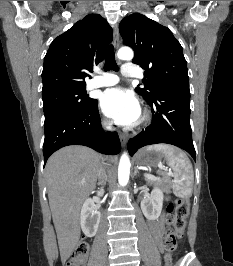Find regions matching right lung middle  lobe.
<instances>
[{"label":"right lung middle lobe","instance_id":"1","mask_svg":"<svg viewBox=\"0 0 233 266\" xmlns=\"http://www.w3.org/2000/svg\"><path fill=\"white\" fill-rule=\"evenodd\" d=\"M42 97L45 121L60 114L86 110L95 102L88 98L85 87L56 90Z\"/></svg>","mask_w":233,"mask_h":266}]
</instances>
